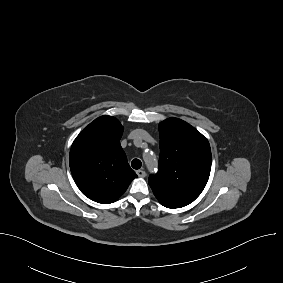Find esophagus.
Listing matches in <instances>:
<instances>
[{"label": "esophagus", "mask_w": 283, "mask_h": 283, "mask_svg": "<svg viewBox=\"0 0 283 283\" xmlns=\"http://www.w3.org/2000/svg\"><path fill=\"white\" fill-rule=\"evenodd\" d=\"M136 173H137L138 177H140V178H143V177H145V176H146L145 171H144V170H142V169L137 170V171H136Z\"/></svg>", "instance_id": "esophagus-1"}]
</instances>
